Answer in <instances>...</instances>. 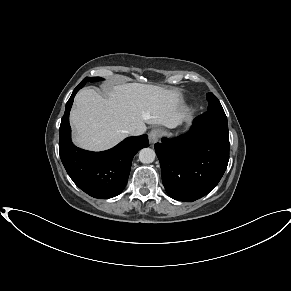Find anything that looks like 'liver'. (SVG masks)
I'll return each instance as SVG.
<instances>
[{
    "label": "liver",
    "instance_id": "6515ba94",
    "mask_svg": "<svg viewBox=\"0 0 291 291\" xmlns=\"http://www.w3.org/2000/svg\"><path fill=\"white\" fill-rule=\"evenodd\" d=\"M185 117L180 94L159 86L129 83L114 86L108 98L92 89L78 92L70 121L76 145L94 151L109 149L131 130L146 124L178 126Z\"/></svg>",
    "mask_w": 291,
    "mask_h": 291
}]
</instances>
